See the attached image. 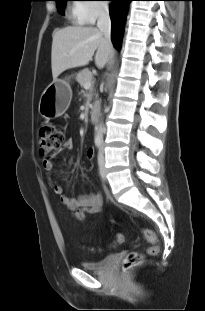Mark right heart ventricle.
I'll return each instance as SVG.
<instances>
[{
  "label": "right heart ventricle",
  "instance_id": "1",
  "mask_svg": "<svg viewBox=\"0 0 205 311\" xmlns=\"http://www.w3.org/2000/svg\"><path fill=\"white\" fill-rule=\"evenodd\" d=\"M71 18H72V20L75 23H78V24H83L84 23V21L82 19V16H81V14H80V12L78 10V5L77 4L73 7Z\"/></svg>",
  "mask_w": 205,
  "mask_h": 311
}]
</instances>
